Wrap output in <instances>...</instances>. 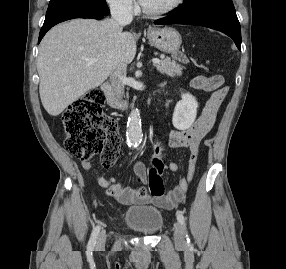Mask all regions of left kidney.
Wrapping results in <instances>:
<instances>
[{
    "mask_svg": "<svg viewBox=\"0 0 286 269\" xmlns=\"http://www.w3.org/2000/svg\"><path fill=\"white\" fill-rule=\"evenodd\" d=\"M198 103L190 94H183L182 99L176 104L172 123L178 130L190 128L197 116Z\"/></svg>",
    "mask_w": 286,
    "mask_h": 269,
    "instance_id": "obj_1",
    "label": "left kidney"
}]
</instances>
